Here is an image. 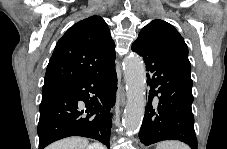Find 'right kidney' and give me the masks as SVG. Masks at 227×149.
Instances as JSON below:
<instances>
[{
	"label": "right kidney",
	"mask_w": 227,
	"mask_h": 149,
	"mask_svg": "<svg viewBox=\"0 0 227 149\" xmlns=\"http://www.w3.org/2000/svg\"><path fill=\"white\" fill-rule=\"evenodd\" d=\"M87 149H101L99 144H90Z\"/></svg>",
	"instance_id": "ca27d5eb"
}]
</instances>
